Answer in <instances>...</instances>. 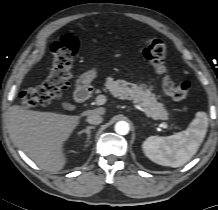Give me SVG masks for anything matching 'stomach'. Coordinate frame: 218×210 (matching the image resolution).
<instances>
[{"label": "stomach", "instance_id": "stomach-1", "mask_svg": "<svg viewBox=\"0 0 218 210\" xmlns=\"http://www.w3.org/2000/svg\"><path fill=\"white\" fill-rule=\"evenodd\" d=\"M97 76L96 69H92L86 73H84L76 82V86L78 89H82L88 87L94 78Z\"/></svg>", "mask_w": 218, "mask_h": 210}]
</instances>
